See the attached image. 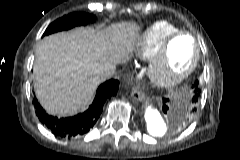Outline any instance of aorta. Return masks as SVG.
Masks as SVG:
<instances>
[{"instance_id":"aorta-1","label":"aorta","mask_w":240,"mask_h":160,"mask_svg":"<svg viewBox=\"0 0 240 160\" xmlns=\"http://www.w3.org/2000/svg\"><path fill=\"white\" fill-rule=\"evenodd\" d=\"M143 119L148 132L153 136H162L166 131V123L160 111L153 105H146Z\"/></svg>"}]
</instances>
